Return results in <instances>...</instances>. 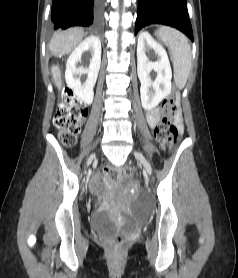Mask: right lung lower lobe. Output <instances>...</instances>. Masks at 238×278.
<instances>
[{
    "mask_svg": "<svg viewBox=\"0 0 238 278\" xmlns=\"http://www.w3.org/2000/svg\"><path fill=\"white\" fill-rule=\"evenodd\" d=\"M103 0H53L51 19L54 29L98 24Z\"/></svg>",
    "mask_w": 238,
    "mask_h": 278,
    "instance_id": "1",
    "label": "right lung lower lobe"
}]
</instances>
